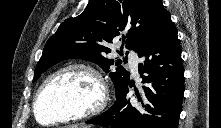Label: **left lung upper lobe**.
I'll return each mask as SVG.
<instances>
[{"label": "left lung upper lobe", "instance_id": "left-lung-upper-lobe-1", "mask_svg": "<svg viewBox=\"0 0 221 128\" xmlns=\"http://www.w3.org/2000/svg\"><path fill=\"white\" fill-rule=\"evenodd\" d=\"M168 14L162 0H89L82 14L66 19L48 39L33 81L51 66L70 58L95 62L110 72L114 61L105 58L111 52L108 43L123 41L128 50L136 52ZM118 53L123 54L122 48ZM121 63L117 60L116 71L109 73L116 94L130 78V73L119 66Z\"/></svg>", "mask_w": 221, "mask_h": 128}]
</instances>
